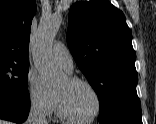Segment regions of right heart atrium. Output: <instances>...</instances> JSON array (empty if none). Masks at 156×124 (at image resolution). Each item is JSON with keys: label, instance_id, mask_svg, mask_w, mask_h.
Masks as SVG:
<instances>
[{"label": "right heart atrium", "instance_id": "1", "mask_svg": "<svg viewBox=\"0 0 156 124\" xmlns=\"http://www.w3.org/2000/svg\"><path fill=\"white\" fill-rule=\"evenodd\" d=\"M26 89L31 108L41 115L50 116L54 110V93L41 82L33 69L27 74Z\"/></svg>", "mask_w": 156, "mask_h": 124}]
</instances>
